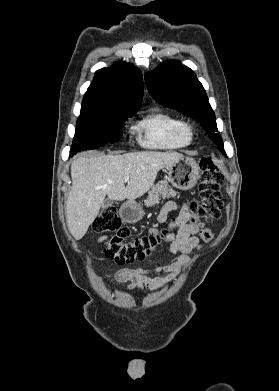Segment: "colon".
<instances>
[{
  "label": "colon",
  "instance_id": "5ec220e1",
  "mask_svg": "<svg viewBox=\"0 0 279 391\" xmlns=\"http://www.w3.org/2000/svg\"><path fill=\"white\" fill-rule=\"evenodd\" d=\"M201 177L199 182V200L189 204V211L195 220L212 222L221 215L223 201L221 187L224 176L219 166L212 158L200 161ZM173 219L166 227L156 234L130 237V231L123 226L114 207L106 208L94 221L93 228L98 233L111 232L113 235L105 240L104 254L118 264H128L144 260L157 251L173 232ZM205 241L213 238V233L205 229L201 234Z\"/></svg>",
  "mask_w": 279,
  "mask_h": 391
}]
</instances>
